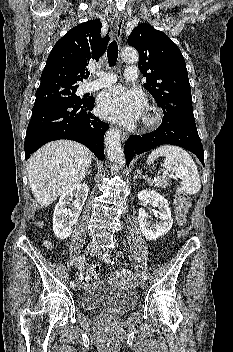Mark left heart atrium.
Instances as JSON below:
<instances>
[{
  "label": "left heart atrium",
  "mask_w": 233,
  "mask_h": 352,
  "mask_svg": "<svg viewBox=\"0 0 233 352\" xmlns=\"http://www.w3.org/2000/svg\"><path fill=\"white\" fill-rule=\"evenodd\" d=\"M142 94L115 86L104 90L98 98V111L106 119L130 124L136 121L144 110Z\"/></svg>",
  "instance_id": "obj_1"
}]
</instances>
